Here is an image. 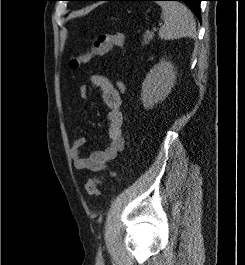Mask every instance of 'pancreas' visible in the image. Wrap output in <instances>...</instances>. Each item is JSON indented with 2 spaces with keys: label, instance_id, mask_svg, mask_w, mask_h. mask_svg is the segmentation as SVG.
Masks as SVG:
<instances>
[{
  "label": "pancreas",
  "instance_id": "cf45deb5",
  "mask_svg": "<svg viewBox=\"0 0 245 265\" xmlns=\"http://www.w3.org/2000/svg\"><path fill=\"white\" fill-rule=\"evenodd\" d=\"M153 36V33L144 34L142 46L147 45L153 39Z\"/></svg>",
  "mask_w": 245,
  "mask_h": 265
}]
</instances>
